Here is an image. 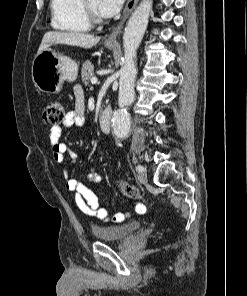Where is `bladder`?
Here are the masks:
<instances>
[{"mask_svg":"<svg viewBox=\"0 0 247 296\" xmlns=\"http://www.w3.org/2000/svg\"><path fill=\"white\" fill-rule=\"evenodd\" d=\"M141 225L142 223L140 221L135 220L119 225L94 227L92 232L101 241H118L135 233L140 229Z\"/></svg>","mask_w":247,"mask_h":296,"instance_id":"1","label":"bladder"}]
</instances>
